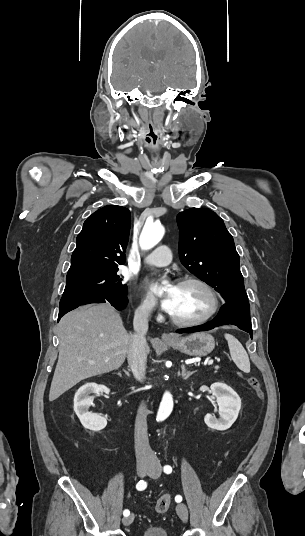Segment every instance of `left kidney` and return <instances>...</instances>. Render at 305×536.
Here are the masks:
<instances>
[{"label":"left kidney","mask_w":305,"mask_h":536,"mask_svg":"<svg viewBox=\"0 0 305 536\" xmlns=\"http://www.w3.org/2000/svg\"><path fill=\"white\" fill-rule=\"evenodd\" d=\"M211 394L216 396V402L219 406V416L218 420H215L212 414H207L204 418L205 424L208 428H213V430H228L237 420L239 410L241 408V400L227 384H221V382H215L212 384Z\"/></svg>","instance_id":"left-kidney-1"}]
</instances>
